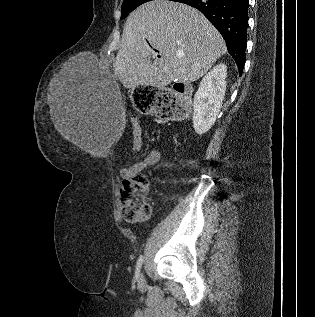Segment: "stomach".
Instances as JSON below:
<instances>
[{
  "mask_svg": "<svg viewBox=\"0 0 315 317\" xmlns=\"http://www.w3.org/2000/svg\"><path fill=\"white\" fill-rule=\"evenodd\" d=\"M136 111L148 114L149 111H157V97H147V95H161V88H154L153 84H137L132 88Z\"/></svg>",
  "mask_w": 315,
  "mask_h": 317,
  "instance_id": "obj_1",
  "label": "stomach"
}]
</instances>
